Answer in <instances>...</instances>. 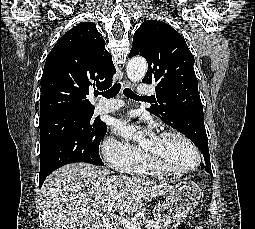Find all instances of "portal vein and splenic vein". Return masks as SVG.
I'll list each match as a JSON object with an SVG mask.
<instances>
[{
  "instance_id": "18ae733b",
  "label": "portal vein and splenic vein",
  "mask_w": 255,
  "mask_h": 229,
  "mask_svg": "<svg viewBox=\"0 0 255 229\" xmlns=\"http://www.w3.org/2000/svg\"><path fill=\"white\" fill-rule=\"evenodd\" d=\"M120 196L117 195V196H114V199H118ZM112 208H113V203H109V206H108V209H107V215H109L110 217L114 218L116 221H119L121 224H123L127 229H141V227L139 226L138 223H133L131 221H129L128 219L126 218H122L116 214H113L114 212L112 211ZM98 215H101V213H98ZM155 225L154 224H147L146 225V228L147 229H151V228H154Z\"/></svg>"
}]
</instances>
